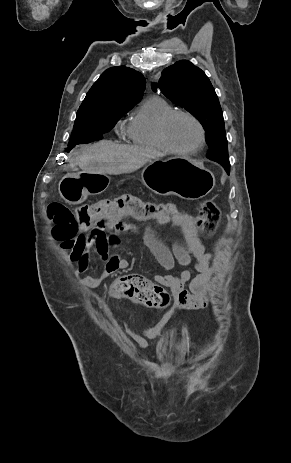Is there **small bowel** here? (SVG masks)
<instances>
[{"instance_id": "1", "label": "small bowel", "mask_w": 291, "mask_h": 463, "mask_svg": "<svg viewBox=\"0 0 291 463\" xmlns=\"http://www.w3.org/2000/svg\"><path fill=\"white\" fill-rule=\"evenodd\" d=\"M127 218L130 217H108L104 220L102 228L87 231L76 239L69 255V260L75 264L76 275H83L87 271L91 250H95L104 262L101 276L82 277L79 280L81 285L96 287L117 272L129 268V262L122 255L111 252L119 245L121 234L134 230V227L125 221ZM180 233L183 244H175L173 249H170L150 229L144 230L143 241L164 270L163 273L155 275L154 279L169 288L184 308L205 309L210 304L209 294L214 279L212 258L205 251L197 232L180 230ZM175 260L186 267L178 275L172 273ZM193 272H196V275H193Z\"/></svg>"}]
</instances>
